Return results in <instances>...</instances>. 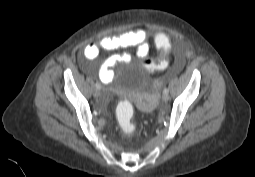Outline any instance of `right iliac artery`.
Wrapping results in <instances>:
<instances>
[{
  "label": "right iliac artery",
  "mask_w": 255,
  "mask_h": 177,
  "mask_svg": "<svg viewBox=\"0 0 255 177\" xmlns=\"http://www.w3.org/2000/svg\"><path fill=\"white\" fill-rule=\"evenodd\" d=\"M95 87H96V89H100L101 88V86H100V84L98 82L95 84Z\"/></svg>",
  "instance_id": "1"
}]
</instances>
